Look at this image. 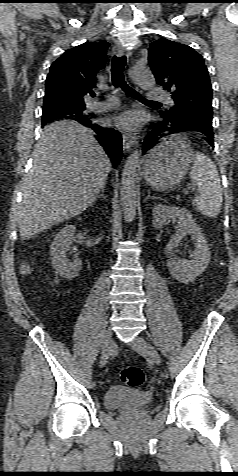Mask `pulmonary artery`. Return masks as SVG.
Returning <instances> with one entry per match:
<instances>
[{"label": "pulmonary artery", "mask_w": 238, "mask_h": 476, "mask_svg": "<svg viewBox=\"0 0 238 476\" xmlns=\"http://www.w3.org/2000/svg\"><path fill=\"white\" fill-rule=\"evenodd\" d=\"M147 98L150 100H155V101H165L167 103L172 102L170 97L164 91L158 88L151 89L147 95ZM115 105H117V99L114 96H112L105 101L93 102L91 105V108L96 111H104L114 107Z\"/></svg>", "instance_id": "obj_1"}]
</instances>
